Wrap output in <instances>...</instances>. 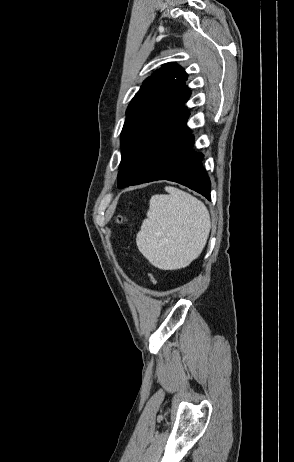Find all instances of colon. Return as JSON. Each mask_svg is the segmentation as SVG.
<instances>
[{"instance_id":"1","label":"colon","mask_w":294,"mask_h":462,"mask_svg":"<svg viewBox=\"0 0 294 462\" xmlns=\"http://www.w3.org/2000/svg\"><path fill=\"white\" fill-rule=\"evenodd\" d=\"M119 221H122V218H121V217L119 218Z\"/></svg>"}]
</instances>
